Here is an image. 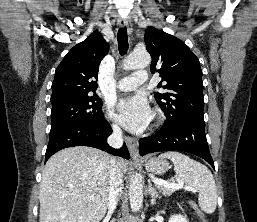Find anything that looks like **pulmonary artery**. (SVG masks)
Segmentation results:
<instances>
[{
    "label": "pulmonary artery",
    "instance_id": "1",
    "mask_svg": "<svg viewBox=\"0 0 257 222\" xmlns=\"http://www.w3.org/2000/svg\"><path fill=\"white\" fill-rule=\"evenodd\" d=\"M146 81L147 73L144 71H140L135 73L133 76L121 79L117 84V88L121 91H131L137 86L145 83Z\"/></svg>",
    "mask_w": 257,
    "mask_h": 222
}]
</instances>
